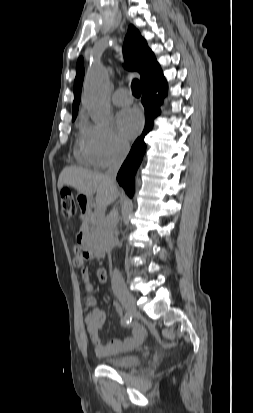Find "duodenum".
<instances>
[{
	"label": "duodenum",
	"instance_id": "obj_1",
	"mask_svg": "<svg viewBox=\"0 0 253 413\" xmlns=\"http://www.w3.org/2000/svg\"><path fill=\"white\" fill-rule=\"evenodd\" d=\"M82 211L85 213L89 209L86 200L80 203ZM78 240L82 243L84 251L90 258H100L103 256V250L95 241L90 238L89 232L83 229L78 236Z\"/></svg>",
	"mask_w": 253,
	"mask_h": 413
}]
</instances>
